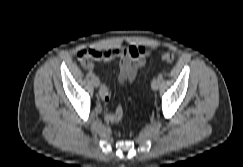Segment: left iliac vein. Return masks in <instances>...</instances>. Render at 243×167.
Instances as JSON below:
<instances>
[{
	"mask_svg": "<svg viewBox=\"0 0 243 167\" xmlns=\"http://www.w3.org/2000/svg\"><path fill=\"white\" fill-rule=\"evenodd\" d=\"M160 83H161L160 79H158V78L153 79L151 82V88L153 90H157L160 86Z\"/></svg>",
	"mask_w": 243,
	"mask_h": 167,
	"instance_id": "left-iliac-vein-1",
	"label": "left iliac vein"
}]
</instances>
